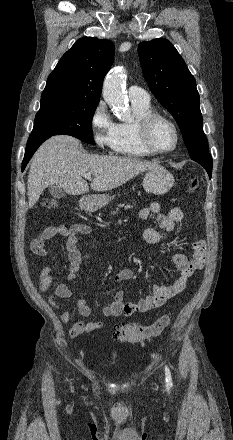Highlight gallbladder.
Instances as JSON below:
<instances>
[{
    "instance_id": "bac80fb5",
    "label": "gallbladder",
    "mask_w": 233,
    "mask_h": 440,
    "mask_svg": "<svg viewBox=\"0 0 233 440\" xmlns=\"http://www.w3.org/2000/svg\"><path fill=\"white\" fill-rule=\"evenodd\" d=\"M48 189H49L50 194L54 198L60 199V198H63L65 196V192L61 188H59V187L49 186Z\"/></svg>"
}]
</instances>
